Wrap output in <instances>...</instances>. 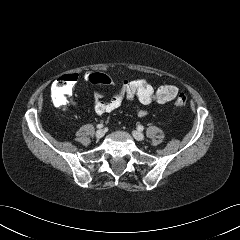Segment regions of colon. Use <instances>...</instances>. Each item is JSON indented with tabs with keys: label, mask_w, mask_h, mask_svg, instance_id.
Instances as JSON below:
<instances>
[{
	"label": "colon",
	"mask_w": 240,
	"mask_h": 240,
	"mask_svg": "<svg viewBox=\"0 0 240 240\" xmlns=\"http://www.w3.org/2000/svg\"><path fill=\"white\" fill-rule=\"evenodd\" d=\"M88 79L93 84L110 85L113 83L112 79L104 73H92ZM75 80L74 75H67L54 81L51 92L56 105L64 106L68 102ZM124 83L132 98L141 104L173 102L177 108L187 105V96L179 92L174 85L154 86L141 77L126 80Z\"/></svg>",
	"instance_id": "1"
}]
</instances>
